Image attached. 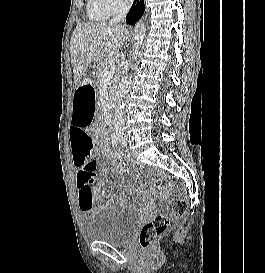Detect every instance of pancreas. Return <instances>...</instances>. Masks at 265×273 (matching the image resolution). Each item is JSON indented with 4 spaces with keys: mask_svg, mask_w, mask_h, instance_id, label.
Wrapping results in <instances>:
<instances>
[{
    "mask_svg": "<svg viewBox=\"0 0 265 273\" xmlns=\"http://www.w3.org/2000/svg\"><path fill=\"white\" fill-rule=\"evenodd\" d=\"M110 62H114V59L112 57L105 59L100 63V66L98 67V70L96 72V80L98 86H100L104 82V71L109 66ZM119 81V75H115L107 84L109 85V89H113V87L118 83ZM112 85V86H111Z\"/></svg>",
    "mask_w": 265,
    "mask_h": 273,
    "instance_id": "obj_1",
    "label": "pancreas"
}]
</instances>
